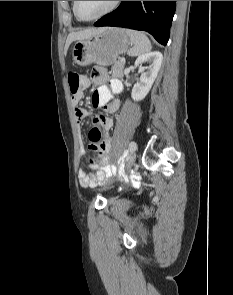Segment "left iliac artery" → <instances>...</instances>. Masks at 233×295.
Instances as JSON below:
<instances>
[{"label":"left iliac artery","instance_id":"1","mask_svg":"<svg viewBox=\"0 0 233 295\" xmlns=\"http://www.w3.org/2000/svg\"><path fill=\"white\" fill-rule=\"evenodd\" d=\"M129 149L130 151H135L137 149V146L135 145V141L134 140H131L130 143H129Z\"/></svg>","mask_w":233,"mask_h":295}]
</instances>
